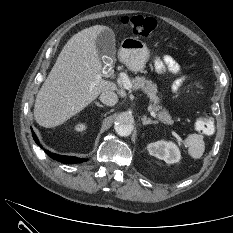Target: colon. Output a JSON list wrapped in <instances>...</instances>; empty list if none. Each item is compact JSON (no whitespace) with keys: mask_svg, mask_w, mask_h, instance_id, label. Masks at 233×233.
<instances>
[{"mask_svg":"<svg viewBox=\"0 0 233 233\" xmlns=\"http://www.w3.org/2000/svg\"><path fill=\"white\" fill-rule=\"evenodd\" d=\"M121 24L138 36H149L157 29L154 18L141 15L122 17ZM195 128L202 134L210 135L214 132V121L208 113H203L197 118Z\"/></svg>","mask_w":233,"mask_h":233,"instance_id":"colon-1","label":"colon"}]
</instances>
